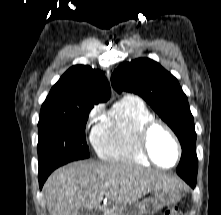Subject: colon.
Masks as SVG:
<instances>
[{"label": "colon", "mask_w": 221, "mask_h": 215, "mask_svg": "<svg viewBox=\"0 0 221 215\" xmlns=\"http://www.w3.org/2000/svg\"><path fill=\"white\" fill-rule=\"evenodd\" d=\"M163 215H181V212L176 207H171L165 210Z\"/></svg>", "instance_id": "5ec220e1"}]
</instances>
